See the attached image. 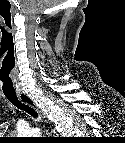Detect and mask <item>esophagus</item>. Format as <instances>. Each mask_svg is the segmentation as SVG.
I'll return each mask as SVG.
<instances>
[{
	"label": "esophagus",
	"mask_w": 125,
	"mask_h": 143,
	"mask_svg": "<svg viewBox=\"0 0 125 143\" xmlns=\"http://www.w3.org/2000/svg\"><path fill=\"white\" fill-rule=\"evenodd\" d=\"M18 98L22 103H25L32 107L42 118H44L43 112L40 108L35 104V102L26 94V93H19Z\"/></svg>",
	"instance_id": "1"
}]
</instances>
